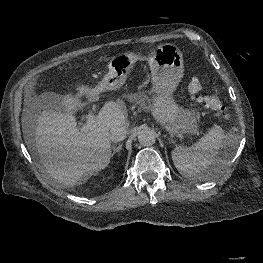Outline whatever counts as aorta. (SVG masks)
Here are the masks:
<instances>
[{
	"mask_svg": "<svg viewBox=\"0 0 263 263\" xmlns=\"http://www.w3.org/2000/svg\"><path fill=\"white\" fill-rule=\"evenodd\" d=\"M138 141L143 146H151L156 141V134L150 129L142 130L138 135Z\"/></svg>",
	"mask_w": 263,
	"mask_h": 263,
	"instance_id": "762f6f07",
	"label": "aorta"
}]
</instances>
